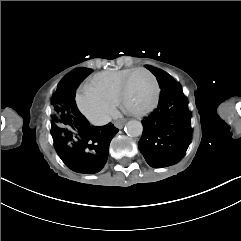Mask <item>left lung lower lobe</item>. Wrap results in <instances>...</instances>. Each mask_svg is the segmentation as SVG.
Returning <instances> with one entry per match:
<instances>
[{"label":"left lung lower lobe","mask_w":241,"mask_h":241,"mask_svg":"<svg viewBox=\"0 0 241 241\" xmlns=\"http://www.w3.org/2000/svg\"><path fill=\"white\" fill-rule=\"evenodd\" d=\"M191 113L179 83L162 89L157 109L142 121L140 152L154 168L173 165L186 153L191 139Z\"/></svg>","instance_id":"1"}]
</instances>
